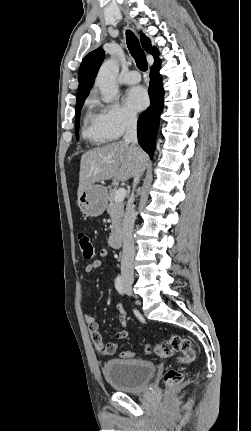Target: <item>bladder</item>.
Segmentation results:
<instances>
[{"mask_svg":"<svg viewBox=\"0 0 251 431\" xmlns=\"http://www.w3.org/2000/svg\"><path fill=\"white\" fill-rule=\"evenodd\" d=\"M156 371L155 364L141 359H112L102 367L111 388L120 392H140L149 384Z\"/></svg>","mask_w":251,"mask_h":431,"instance_id":"bladder-1","label":"bladder"}]
</instances>
